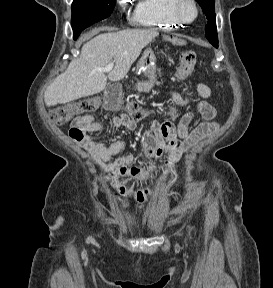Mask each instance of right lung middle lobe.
Listing matches in <instances>:
<instances>
[{
	"mask_svg": "<svg viewBox=\"0 0 273 288\" xmlns=\"http://www.w3.org/2000/svg\"><path fill=\"white\" fill-rule=\"evenodd\" d=\"M116 0H73L72 28L76 40L86 27L111 15Z\"/></svg>",
	"mask_w": 273,
	"mask_h": 288,
	"instance_id": "obj_1",
	"label": "right lung middle lobe"
}]
</instances>
